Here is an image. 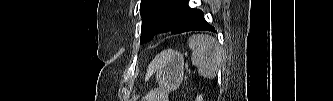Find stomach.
Returning a JSON list of instances; mask_svg holds the SVG:
<instances>
[{"mask_svg":"<svg viewBox=\"0 0 333 101\" xmlns=\"http://www.w3.org/2000/svg\"><path fill=\"white\" fill-rule=\"evenodd\" d=\"M159 68L156 73L158 87L150 90L143 101H167L168 94L176 90L184 75V58L172 49L158 56Z\"/></svg>","mask_w":333,"mask_h":101,"instance_id":"stomach-1","label":"stomach"}]
</instances>
